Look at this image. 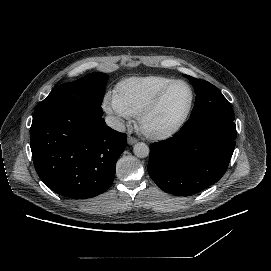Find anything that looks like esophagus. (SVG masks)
<instances>
[{
    "label": "esophagus",
    "mask_w": 271,
    "mask_h": 271,
    "mask_svg": "<svg viewBox=\"0 0 271 271\" xmlns=\"http://www.w3.org/2000/svg\"><path fill=\"white\" fill-rule=\"evenodd\" d=\"M138 141V139L137 138H135V137H133V136H128L127 137V142H128V144L129 145H133L134 143H136Z\"/></svg>",
    "instance_id": "34e87169"
}]
</instances>
